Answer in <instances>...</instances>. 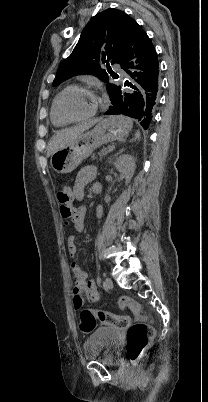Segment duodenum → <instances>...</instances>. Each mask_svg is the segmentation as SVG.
<instances>
[{
  "label": "duodenum",
  "instance_id": "410a0bca",
  "mask_svg": "<svg viewBox=\"0 0 208 402\" xmlns=\"http://www.w3.org/2000/svg\"><path fill=\"white\" fill-rule=\"evenodd\" d=\"M100 190H101V188H100V186H98V185H96V186L93 187V192H94L95 194L100 193Z\"/></svg>",
  "mask_w": 208,
  "mask_h": 402
}]
</instances>
